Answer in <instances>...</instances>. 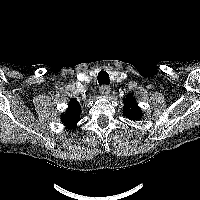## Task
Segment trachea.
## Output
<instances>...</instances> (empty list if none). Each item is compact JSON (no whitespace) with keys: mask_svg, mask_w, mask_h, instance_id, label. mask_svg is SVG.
<instances>
[{"mask_svg":"<svg viewBox=\"0 0 200 200\" xmlns=\"http://www.w3.org/2000/svg\"><path fill=\"white\" fill-rule=\"evenodd\" d=\"M97 79H98V83H99L100 85H102V84L108 85L109 82H110V80H109V75H108V73L105 72V71H100V72L98 73Z\"/></svg>","mask_w":200,"mask_h":200,"instance_id":"obj_1","label":"trachea"}]
</instances>
